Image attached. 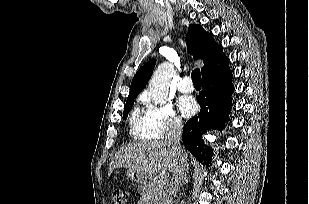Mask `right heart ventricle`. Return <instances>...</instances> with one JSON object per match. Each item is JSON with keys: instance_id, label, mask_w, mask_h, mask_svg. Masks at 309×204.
I'll use <instances>...</instances> for the list:
<instances>
[{"instance_id": "1", "label": "right heart ventricle", "mask_w": 309, "mask_h": 204, "mask_svg": "<svg viewBox=\"0 0 309 204\" xmlns=\"http://www.w3.org/2000/svg\"><path fill=\"white\" fill-rule=\"evenodd\" d=\"M145 114H143L138 107H136L130 116V127L134 137L138 139L146 138L144 135Z\"/></svg>"}]
</instances>
